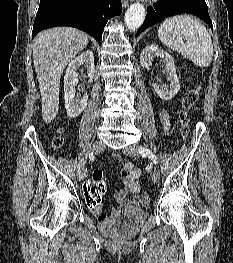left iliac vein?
<instances>
[{
  "instance_id": "left-iliac-vein-1",
  "label": "left iliac vein",
  "mask_w": 233,
  "mask_h": 263,
  "mask_svg": "<svg viewBox=\"0 0 233 263\" xmlns=\"http://www.w3.org/2000/svg\"><path fill=\"white\" fill-rule=\"evenodd\" d=\"M137 145H129L123 149V153L127 156H136L137 155ZM152 180L154 183H158L160 180V171L158 168H155L152 172Z\"/></svg>"
}]
</instances>
